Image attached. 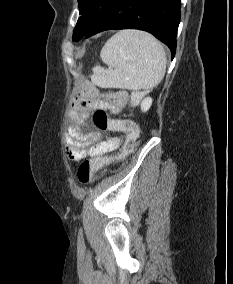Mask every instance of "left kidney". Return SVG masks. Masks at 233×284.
I'll return each mask as SVG.
<instances>
[{"label": "left kidney", "mask_w": 233, "mask_h": 284, "mask_svg": "<svg viewBox=\"0 0 233 284\" xmlns=\"http://www.w3.org/2000/svg\"><path fill=\"white\" fill-rule=\"evenodd\" d=\"M151 105H152V98L146 97L141 102V110L143 112H146V111H148L150 109Z\"/></svg>", "instance_id": "obj_1"}]
</instances>
